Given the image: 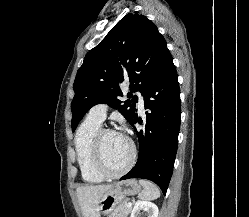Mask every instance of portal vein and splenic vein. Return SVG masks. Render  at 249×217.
Masks as SVG:
<instances>
[{"label": "portal vein and splenic vein", "mask_w": 249, "mask_h": 217, "mask_svg": "<svg viewBox=\"0 0 249 217\" xmlns=\"http://www.w3.org/2000/svg\"><path fill=\"white\" fill-rule=\"evenodd\" d=\"M131 207H132V203L131 202L127 203V208H131Z\"/></svg>", "instance_id": "portal-vein-and-splenic-vein-1"}]
</instances>
